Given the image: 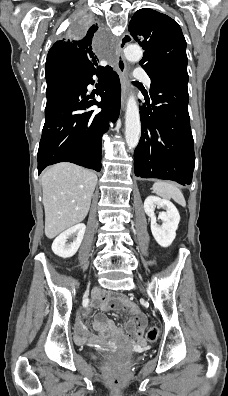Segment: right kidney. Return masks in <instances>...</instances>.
<instances>
[{"mask_svg":"<svg viewBox=\"0 0 228 396\" xmlns=\"http://www.w3.org/2000/svg\"><path fill=\"white\" fill-rule=\"evenodd\" d=\"M85 224H77L61 233L52 243V251L59 257L69 258L76 254L85 234ZM68 239L73 242L67 243Z\"/></svg>","mask_w":228,"mask_h":396,"instance_id":"1","label":"right kidney"}]
</instances>
